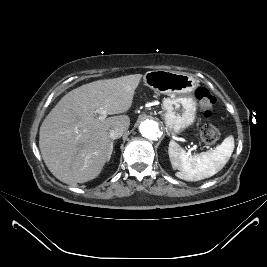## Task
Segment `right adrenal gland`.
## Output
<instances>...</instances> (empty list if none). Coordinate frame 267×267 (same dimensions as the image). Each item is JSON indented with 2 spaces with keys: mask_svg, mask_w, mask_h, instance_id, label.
I'll use <instances>...</instances> for the list:
<instances>
[{
  "mask_svg": "<svg viewBox=\"0 0 267 267\" xmlns=\"http://www.w3.org/2000/svg\"><path fill=\"white\" fill-rule=\"evenodd\" d=\"M113 143H114V142L112 141V142H111V145H112V151H113Z\"/></svg>",
  "mask_w": 267,
  "mask_h": 267,
  "instance_id": "2a0ac1e0",
  "label": "right adrenal gland"
}]
</instances>
